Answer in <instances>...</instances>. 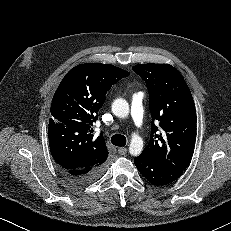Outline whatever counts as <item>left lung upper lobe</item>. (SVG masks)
Segmentation results:
<instances>
[{
  "instance_id": "left-lung-upper-lobe-1",
  "label": "left lung upper lobe",
  "mask_w": 231,
  "mask_h": 231,
  "mask_svg": "<svg viewBox=\"0 0 231 231\" xmlns=\"http://www.w3.org/2000/svg\"><path fill=\"white\" fill-rule=\"evenodd\" d=\"M149 91L151 141L142 155L161 166L185 170L196 141V110L180 72L169 64H138L132 68Z\"/></svg>"
}]
</instances>
